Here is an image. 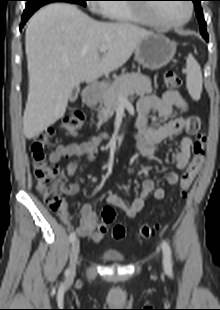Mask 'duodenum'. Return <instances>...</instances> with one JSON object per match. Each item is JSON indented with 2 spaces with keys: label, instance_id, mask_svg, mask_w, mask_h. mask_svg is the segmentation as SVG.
<instances>
[{
  "label": "duodenum",
  "instance_id": "duodenum-1",
  "mask_svg": "<svg viewBox=\"0 0 220 310\" xmlns=\"http://www.w3.org/2000/svg\"><path fill=\"white\" fill-rule=\"evenodd\" d=\"M104 84L101 81H96L92 85V88L89 92L86 93L84 99L89 104H94L97 99V95L101 92L103 89Z\"/></svg>",
  "mask_w": 220,
  "mask_h": 310
}]
</instances>
